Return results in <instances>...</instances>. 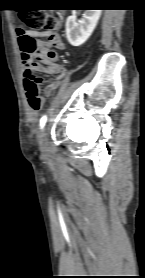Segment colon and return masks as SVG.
Returning a JSON list of instances; mask_svg holds the SVG:
<instances>
[{
  "instance_id": "5ec220e1",
  "label": "colon",
  "mask_w": 145,
  "mask_h": 278,
  "mask_svg": "<svg viewBox=\"0 0 145 278\" xmlns=\"http://www.w3.org/2000/svg\"><path fill=\"white\" fill-rule=\"evenodd\" d=\"M58 24L57 18L49 13L36 10H26L20 14V25L16 28L19 49L22 57L34 62L39 58H46L50 62L56 60V52L48 47H42L33 37L26 35V31L52 32ZM23 83L26 92L28 106L33 111H39L43 107V99L39 90L40 78L35 74L32 65H29L23 73Z\"/></svg>"
}]
</instances>
